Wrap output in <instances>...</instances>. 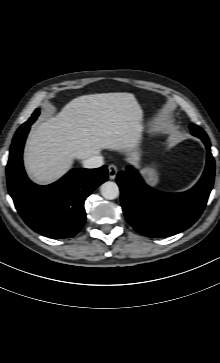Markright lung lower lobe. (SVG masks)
<instances>
[{
	"instance_id": "obj_1",
	"label": "right lung lower lobe",
	"mask_w": 220,
	"mask_h": 363,
	"mask_svg": "<svg viewBox=\"0 0 220 363\" xmlns=\"http://www.w3.org/2000/svg\"><path fill=\"white\" fill-rule=\"evenodd\" d=\"M31 121L25 122L13 138L6 168L9 194L20 216L35 232L50 238L73 237L85 223V199L108 179L107 166L73 169L53 184H34L22 163Z\"/></svg>"
}]
</instances>
